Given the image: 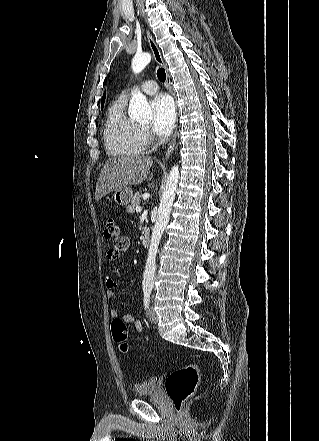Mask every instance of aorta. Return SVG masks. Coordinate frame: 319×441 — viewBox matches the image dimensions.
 <instances>
[{"instance_id":"aorta-1","label":"aorta","mask_w":319,"mask_h":441,"mask_svg":"<svg viewBox=\"0 0 319 441\" xmlns=\"http://www.w3.org/2000/svg\"><path fill=\"white\" fill-rule=\"evenodd\" d=\"M151 61V55L149 53L136 54L132 60V71L135 74L140 73ZM129 116L135 120L149 121L152 119V110L147 102L146 97L140 92L135 91L133 94L129 110ZM180 178V172L178 165H174L170 171L162 199L160 201L157 220L152 232L150 247L148 250L147 262L143 275L142 286L152 287L154 283L155 270H156V256L158 252V246L162 237V234L169 222L170 212L173 201L176 195V188Z\"/></svg>"}]
</instances>
